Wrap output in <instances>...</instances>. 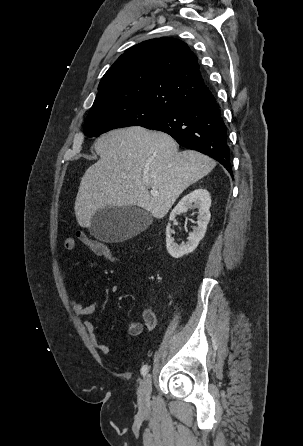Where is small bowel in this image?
Returning a JSON list of instances; mask_svg holds the SVG:
<instances>
[{
  "label": "small bowel",
  "mask_w": 303,
  "mask_h": 446,
  "mask_svg": "<svg viewBox=\"0 0 303 446\" xmlns=\"http://www.w3.org/2000/svg\"><path fill=\"white\" fill-rule=\"evenodd\" d=\"M76 238L86 246L92 253L97 255L99 241H96L89 237V235L83 231L79 230L76 232ZM75 248V238L68 236L64 240V249L66 251H73ZM71 307L74 313L79 316H88L93 314L98 308V301L95 300L90 305H85L83 302L72 299ZM157 325V318L153 309L148 306L145 308L142 314V318L139 320H132L128 324V333L132 336L140 335L145 329L153 330ZM86 329L90 335L92 343L95 347L100 350L103 354L109 353V346L106 343L98 342L95 335V326L92 322L85 323Z\"/></svg>",
  "instance_id": "1"
}]
</instances>
